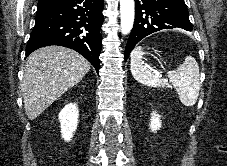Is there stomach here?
Wrapping results in <instances>:
<instances>
[{
  "instance_id": "1",
  "label": "stomach",
  "mask_w": 227,
  "mask_h": 166,
  "mask_svg": "<svg viewBox=\"0 0 227 166\" xmlns=\"http://www.w3.org/2000/svg\"><path fill=\"white\" fill-rule=\"evenodd\" d=\"M143 54H148V53H146V52H142Z\"/></svg>"
}]
</instances>
